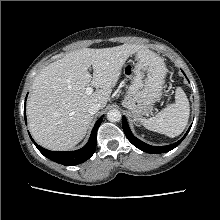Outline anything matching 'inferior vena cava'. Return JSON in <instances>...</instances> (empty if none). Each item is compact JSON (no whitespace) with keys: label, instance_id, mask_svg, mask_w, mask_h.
<instances>
[{"label":"inferior vena cava","instance_id":"1","mask_svg":"<svg viewBox=\"0 0 220 220\" xmlns=\"http://www.w3.org/2000/svg\"><path fill=\"white\" fill-rule=\"evenodd\" d=\"M101 108L100 104H93L92 106L89 107L88 112L91 115H94L98 112V110Z\"/></svg>","mask_w":220,"mask_h":220}]
</instances>
